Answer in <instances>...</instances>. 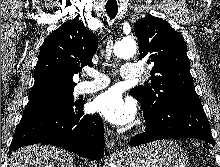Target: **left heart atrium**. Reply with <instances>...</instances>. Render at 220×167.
<instances>
[{
    "label": "left heart atrium",
    "instance_id": "39dd6f15",
    "mask_svg": "<svg viewBox=\"0 0 220 167\" xmlns=\"http://www.w3.org/2000/svg\"><path fill=\"white\" fill-rule=\"evenodd\" d=\"M91 107L94 112L117 125L129 123L135 115L134 103L130 100H124L122 95L114 90L97 96Z\"/></svg>",
    "mask_w": 220,
    "mask_h": 167
}]
</instances>
